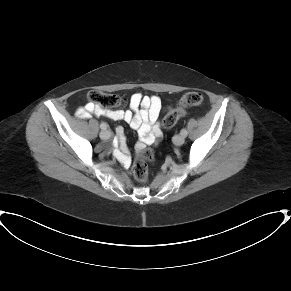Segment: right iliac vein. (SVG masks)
<instances>
[{
	"instance_id": "obj_1",
	"label": "right iliac vein",
	"mask_w": 291,
	"mask_h": 291,
	"mask_svg": "<svg viewBox=\"0 0 291 291\" xmlns=\"http://www.w3.org/2000/svg\"><path fill=\"white\" fill-rule=\"evenodd\" d=\"M110 136H111V133L107 130H103L100 132V138L103 140L110 138Z\"/></svg>"
}]
</instances>
